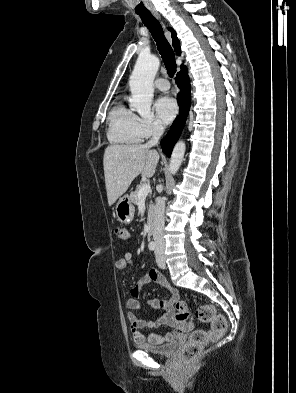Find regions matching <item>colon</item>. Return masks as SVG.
<instances>
[{
  "instance_id": "obj_1",
  "label": "colon",
  "mask_w": 296,
  "mask_h": 393,
  "mask_svg": "<svg viewBox=\"0 0 296 393\" xmlns=\"http://www.w3.org/2000/svg\"><path fill=\"white\" fill-rule=\"evenodd\" d=\"M114 233L121 240L128 238V232L122 226H115ZM196 316L200 321L210 323L211 328L208 331L196 330L191 333L181 353L183 360L187 363L194 360L210 340L221 337L227 328L226 319L218 313L213 304L200 306L196 311ZM173 318L178 322H186L190 319L189 312L183 301L178 300L175 303L173 307Z\"/></svg>"
}]
</instances>
